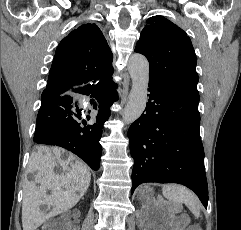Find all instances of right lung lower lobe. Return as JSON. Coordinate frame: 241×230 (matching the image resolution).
Segmentation results:
<instances>
[{"mask_svg":"<svg viewBox=\"0 0 241 230\" xmlns=\"http://www.w3.org/2000/svg\"><path fill=\"white\" fill-rule=\"evenodd\" d=\"M115 88L116 84L110 80L70 87L59 95L43 91L34 142L63 147L78 155L93 170H98L102 128L110 116V106L118 99ZM86 96L97 110L90 122L81 117L80 106Z\"/></svg>","mask_w":241,"mask_h":230,"instance_id":"obj_1","label":"right lung lower lobe"}]
</instances>
